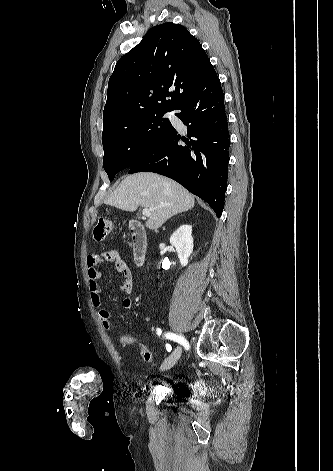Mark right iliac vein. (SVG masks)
Instances as JSON below:
<instances>
[{"label":"right iliac vein","mask_w":333,"mask_h":471,"mask_svg":"<svg viewBox=\"0 0 333 471\" xmlns=\"http://www.w3.org/2000/svg\"><path fill=\"white\" fill-rule=\"evenodd\" d=\"M181 355V348L177 347L173 353L165 360L164 364L161 366L160 371L169 370L174 363L179 359Z\"/></svg>","instance_id":"63e3f726"}]
</instances>
